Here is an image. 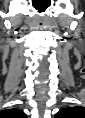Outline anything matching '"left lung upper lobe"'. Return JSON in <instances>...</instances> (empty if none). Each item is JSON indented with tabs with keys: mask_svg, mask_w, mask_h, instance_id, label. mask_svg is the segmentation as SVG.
I'll return each mask as SVG.
<instances>
[{
	"mask_svg": "<svg viewBox=\"0 0 85 118\" xmlns=\"http://www.w3.org/2000/svg\"><path fill=\"white\" fill-rule=\"evenodd\" d=\"M75 109L76 108H74V107H68V108L62 109L60 112V117L71 115L75 111Z\"/></svg>",
	"mask_w": 85,
	"mask_h": 118,
	"instance_id": "5c2ea615",
	"label": "left lung upper lobe"
}]
</instances>
